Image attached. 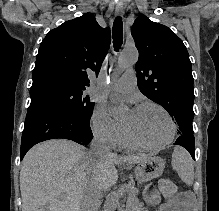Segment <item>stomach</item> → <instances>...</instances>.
<instances>
[{
	"instance_id": "stomach-1",
	"label": "stomach",
	"mask_w": 219,
	"mask_h": 211,
	"mask_svg": "<svg viewBox=\"0 0 219 211\" xmlns=\"http://www.w3.org/2000/svg\"><path fill=\"white\" fill-rule=\"evenodd\" d=\"M164 168L165 161L161 157L149 156L146 160L137 163L134 172L138 181L147 182L161 176Z\"/></svg>"
}]
</instances>
